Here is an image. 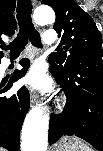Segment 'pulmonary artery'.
Returning <instances> with one entry per match:
<instances>
[{
    "mask_svg": "<svg viewBox=\"0 0 103 151\" xmlns=\"http://www.w3.org/2000/svg\"><path fill=\"white\" fill-rule=\"evenodd\" d=\"M43 40L46 44H53L56 40V35L54 31H46L43 36Z\"/></svg>",
    "mask_w": 103,
    "mask_h": 151,
    "instance_id": "1",
    "label": "pulmonary artery"
}]
</instances>
